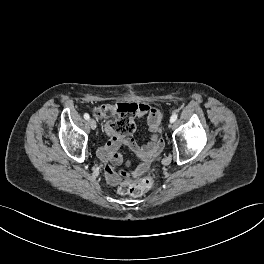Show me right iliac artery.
Instances as JSON below:
<instances>
[{
	"label": "right iliac artery",
	"instance_id": "1",
	"mask_svg": "<svg viewBox=\"0 0 264 264\" xmlns=\"http://www.w3.org/2000/svg\"><path fill=\"white\" fill-rule=\"evenodd\" d=\"M84 118H85L86 120H89V118H90L89 114H88V113H85V114H84Z\"/></svg>",
	"mask_w": 264,
	"mask_h": 264
}]
</instances>
